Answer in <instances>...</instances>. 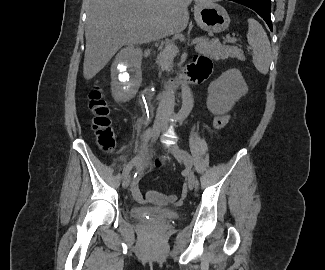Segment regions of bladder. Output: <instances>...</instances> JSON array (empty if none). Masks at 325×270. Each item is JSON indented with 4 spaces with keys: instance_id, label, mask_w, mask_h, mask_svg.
Instances as JSON below:
<instances>
[{
    "instance_id": "31cf9c89",
    "label": "bladder",
    "mask_w": 325,
    "mask_h": 270,
    "mask_svg": "<svg viewBox=\"0 0 325 270\" xmlns=\"http://www.w3.org/2000/svg\"><path fill=\"white\" fill-rule=\"evenodd\" d=\"M132 216L138 219H156L160 221H172L179 218V213L172 209L133 206Z\"/></svg>"
}]
</instances>
